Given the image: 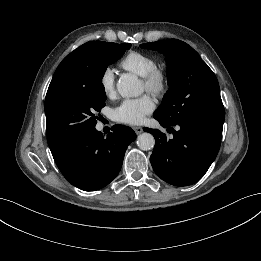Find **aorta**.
Segmentation results:
<instances>
[{"mask_svg": "<svg viewBox=\"0 0 261 261\" xmlns=\"http://www.w3.org/2000/svg\"><path fill=\"white\" fill-rule=\"evenodd\" d=\"M118 93L122 97H137L143 93V87L135 74L125 73L120 76L117 82ZM137 145L147 151L154 147L155 139L152 134L144 132L137 137Z\"/></svg>", "mask_w": 261, "mask_h": 261, "instance_id": "762f6f07", "label": "aorta"}]
</instances>
